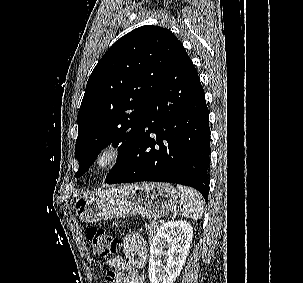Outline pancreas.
Segmentation results:
<instances>
[{"label": "pancreas", "instance_id": "1", "mask_svg": "<svg viewBox=\"0 0 303 283\" xmlns=\"http://www.w3.org/2000/svg\"><path fill=\"white\" fill-rule=\"evenodd\" d=\"M146 230L149 231V237L152 238L158 231V226L157 224L152 221L150 224L145 225Z\"/></svg>", "mask_w": 303, "mask_h": 283}]
</instances>
